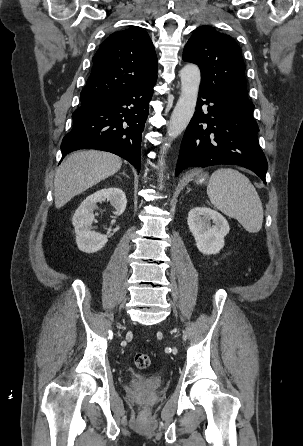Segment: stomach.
I'll return each mask as SVG.
<instances>
[{
  "label": "stomach",
  "instance_id": "obj_1",
  "mask_svg": "<svg viewBox=\"0 0 303 446\" xmlns=\"http://www.w3.org/2000/svg\"><path fill=\"white\" fill-rule=\"evenodd\" d=\"M206 180H207V175L206 174H199L197 177H196V183H198V184H201V183H204V182H206Z\"/></svg>",
  "mask_w": 303,
  "mask_h": 446
}]
</instances>
